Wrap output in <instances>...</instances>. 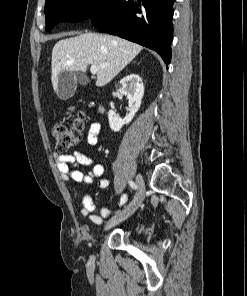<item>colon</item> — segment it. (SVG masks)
I'll use <instances>...</instances> for the list:
<instances>
[{
	"label": "colon",
	"instance_id": "5ec220e1",
	"mask_svg": "<svg viewBox=\"0 0 247 296\" xmlns=\"http://www.w3.org/2000/svg\"><path fill=\"white\" fill-rule=\"evenodd\" d=\"M73 115L70 123L61 121L52 128L53 146L58 153H63L74 147L81 138L86 115L75 108L71 109Z\"/></svg>",
	"mask_w": 247,
	"mask_h": 296
}]
</instances>
